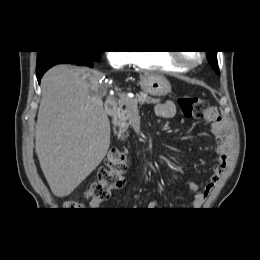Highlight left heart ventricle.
Wrapping results in <instances>:
<instances>
[{
    "mask_svg": "<svg viewBox=\"0 0 260 260\" xmlns=\"http://www.w3.org/2000/svg\"><path fill=\"white\" fill-rule=\"evenodd\" d=\"M183 56L185 57V59H187L189 61H193L198 58L197 52H185V53H183Z\"/></svg>",
    "mask_w": 260,
    "mask_h": 260,
    "instance_id": "obj_1",
    "label": "left heart ventricle"
}]
</instances>
